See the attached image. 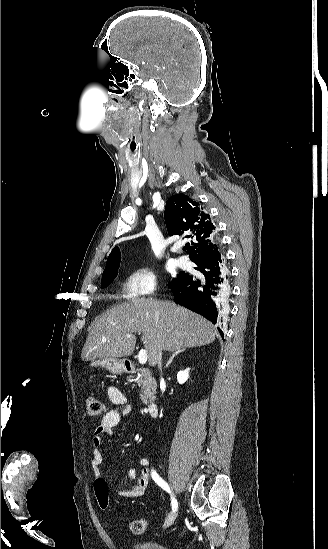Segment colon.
<instances>
[{
	"label": "colon",
	"instance_id": "5ec220e1",
	"mask_svg": "<svg viewBox=\"0 0 328 549\" xmlns=\"http://www.w3.org/2000/svg\"><path fill=\"white\" fill-rule=\"evenodd\" d=\"M87 412L91 416H99L105 410V405L97 397L90 396L86 401ZM94 490L100 509L106 510L109 507V489L106 481L102 478H97L94 481ZM147 528V521L144 518L136 519L131 524V530L135 534H142Z\"/></svg>",
	"mask_w": 328,
	"mask_h": 549
}]
</instances>
